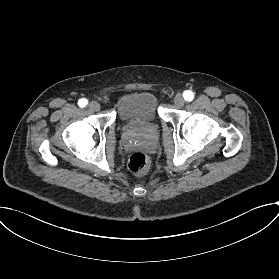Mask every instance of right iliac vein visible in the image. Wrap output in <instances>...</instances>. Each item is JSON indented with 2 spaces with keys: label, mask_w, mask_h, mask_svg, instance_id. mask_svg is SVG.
Returning a JSON list of instances; mask_svg holds the SVG:
<instances>
[{
  "label": "right iliac vein",
  "mask_w": 279,
  "mask_h": 279,
  "mask_svg": "<svg viewBox=\"0 0 279 279\" xmlns=\"http://www.w3.org/2000/svg\"><path fill=\"white\" fill-rule=\"evenodd\" d=\"M89 109L92 111H98L100 110V104L96 101H91L88 105Z\"/></svg>",
  "instance_id": "63e3f726"
}]
</instances>
